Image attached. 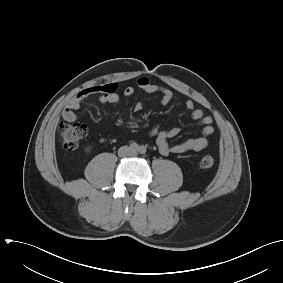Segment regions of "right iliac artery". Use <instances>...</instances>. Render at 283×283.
Here are the masks:
<instances>
[{"instance_id": "obj_1", "label": "right iliac artery", "mask_w": 283, "mask_h": 283, "mask_svg": "<svg viewBox=\"0 0 283 283\" xmlns=\"http://www.w3.org/2000/svg\"><path fill=\"white\" fill-rule=\"evenodd\" d=\"M130 149L133 150V151H136L139 149V145L135 142L131 143L130 144Z\"/></svg>"}]
</instances>
